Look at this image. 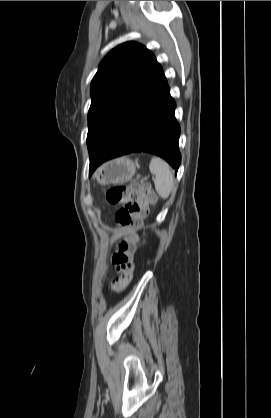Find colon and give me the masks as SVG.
Instances as JSON below:
<instances>
[{
	"label": "colon",
	"instance_id": "colon-1",
	"mask_svg": "<svg viewBox=\"0 0 271 418\" xmlns=\"http://www.w3.org/2000/svg\"><path fill=\"white\" fill-rule=\"evenodd\" d=\"M109 203L119 205L115 221L122 228L136 229L148 214L149 207L155 202L156 196L151 186L145 182L131 185H115L107 190ZM137 236L132 233L117 244L112 262L119 272L114 285L117 289L124 288L132 279L134 272V253Z\"/></svg>",
	"mask_w": 271,
	"mask_h": 418
}]
</instances>
